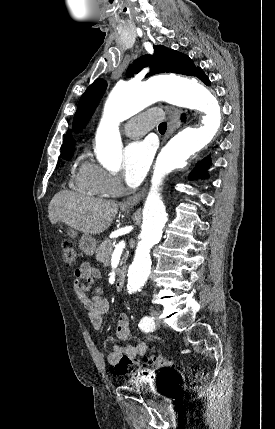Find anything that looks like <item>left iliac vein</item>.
I'll return each instance as SVG.
<instances>
[{"label": "left iliac vein", "mask_w": 275, "mask_h": 429, "mask_svg": "<svg viewBox=\"0 0 275 429\" xmlns=\"http://www.w3.org/2000/svg\"><path fill=\"white\" fill-rule=\"evenodd\" d=\"M151 316H152L153 320L155 321L156 325L159 326L161 324V321H160V318H159V312L156 311V310H153L151 312Z\"/></svg>", "instance_id": "4c4485c4"}]
</instances>
